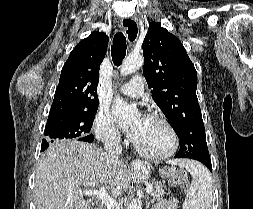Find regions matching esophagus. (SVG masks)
Returning <instances> with one entry per match:
<instances>
[{"label":"esophagus","mask_w":253,"mask_h":209,"mask_svg":"<svg viewBox=\"0 0 253 209\" xmlns=\"http://www.w3.org/2000/svg\"><path fill=\"white\" fill-rule=\"evenodd\" d=\"M124 31L127 35L128 42L133 43L136 41L139 34V27L137 25L136 18L134 17H125L121 21ZM128 25L131 27V30L128 28ZM137 25V26H136ZM133 165H138L139 161H133Z\"/></svg>","instance_id":"obj_1"}]
</instances>
